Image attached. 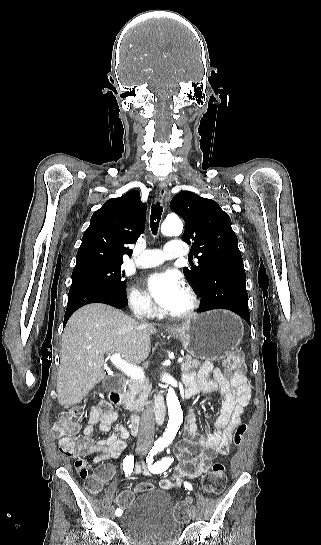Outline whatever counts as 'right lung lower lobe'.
<instances>
[{"instance_id":"right-lung-lower-lobe-1","label":"right lung lower lobe","mask_w":321,"mask_h":545,"mask_svg":"<svg viewBox=\"0 0 321 545\" xmlns=\"http://www.w3.org/2000/svg\"><path fill=\"white\" fill-rule=\"evenodd\" d=\"M90 303H105L116 308H124L128 305V300L126 291L94 282H74L69 290L64 325L78 308Z\"/></svg>"}]
</instances>
